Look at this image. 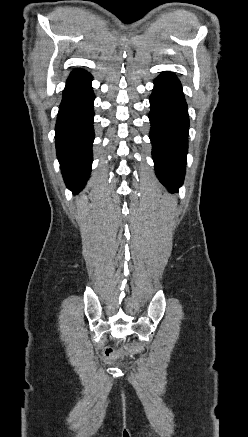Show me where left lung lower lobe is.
<instances>
[{
    "mask_svg": "<svg viewBox=\"0 0 248 437\" xmlns=\"http://www.w3.org/2000/svg\"><path fill=\"white\" fill-rule=\"evenodd\" d=\"M149 100L155 171L161 183L175 193L184 180L189 131L188 108L176 75L161 73Z\"/></svg>",
    "mask_w": 248,
    "mask_h": 437,
    "instance_id": "0a47b994",
    "label": "left lung lower lobe"
}]
</instances>
